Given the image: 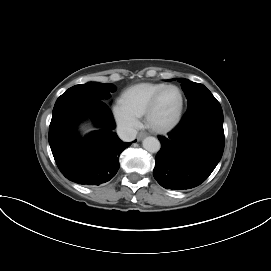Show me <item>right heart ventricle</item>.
<instances>
[{
  "label": "right heart ventricle",
  "instance_id": "e07e8e85",
  "mask_svg": "<svg viewBox=\"0 0 271 271\" xmlns=\"http://www.w3.org/2000/svg\"><path fill=\"white\" fill-rule=\"evenodd\" d=\"M165 86L163 83H139L125 89L120 102L138 118L144 116L152 97Z\"/></svg>",
  "mask_w": 271,
  "mask_h": 271
}]
</instances>
